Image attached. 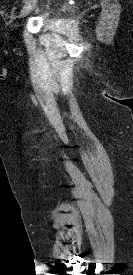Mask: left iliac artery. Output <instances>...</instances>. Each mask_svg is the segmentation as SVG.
<instances>
[{
    "mask_svg": "<svg viewBox=\"0 0 133 275\" xmlns=\"http://www.w3.org/2000/svg\"><path fill=\"white\" fill-rule=\"evenodd\" d=\"M26 1H27V0H23V2H25V3H26Z\"/></svg>",
    "mask_w": 133,
    "mask_h": 275,
    "instance_id": "left-iliac-artery-1",
    "label": "left iliac artery"
}]
</instances>
